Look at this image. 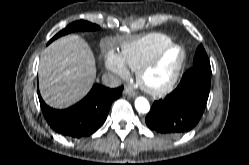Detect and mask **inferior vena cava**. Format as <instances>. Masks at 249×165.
I'll use <instances>...</instances> for the list:
<instances>
[{"instance_id":"602c4592","label":"inferior vena cava","mask_w":249,"mask_h":165,"mask_svg":"<svg viewBox=\"0 0 249 165\" xmlns=\"http://www.w3.org/2000/svg\"><path fill=\"white\" fill-rule=\"evenodd\" d=\"M102 83L107 87L116 88L121 85V79L112 73H107L102 75Z\"/></svg>"}]
</instances>
